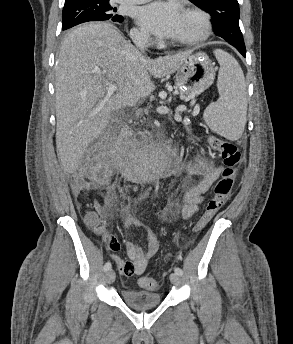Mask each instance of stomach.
<instances>
[{"label":"stomach","mask_w":293,"mask_h":344,"mask_svg":"<svg viewBox=\"0 0 293 344\" xmlns=\"http://www.w3.org/2000/svg\"><path fill=\"white\" fill-rule=\"evenodd\" d=\"M176 88L186 96H195L205 91L215 77V67L202 52L190 54L174 72Z\"/></svg>","instance_id":"obj_1"}]
</instances>
